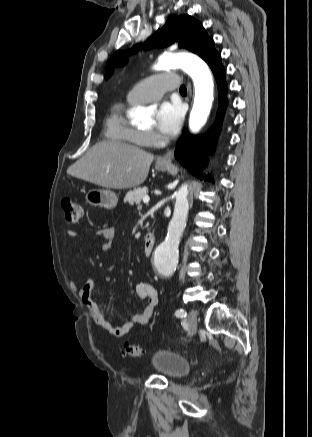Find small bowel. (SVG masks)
I'll return each instance as SVG.
<instances>
[{
    "label": "small bowel",
    "mask_w": 312,
    "mask_h": 437,
    "mask_svg": "<svg viewBox=\"0 0 312 437\" xmlns=\"http://www.w3.org/2000/svg\"><path fill=\"white\" fill-rule=\"evenodd\" d=\"M68 236L75 237L77 232L69 230ZM94 236L102 237L105 243L102 247L104 251L112 249L115 241V228L104 227L94 232ZM97 283L94 278H87L82 287L76 288V291L82 303L88 308L96 326L102 328L109 334L116 337H122L127 334L135 325H147L155 313L158 305V292L153 285L147 282H140L136 285V294L139 299L146 301L143 310L131 316L124 324L116 325L110 322L101 305L93 298V291Z\"/></svg>",
    "instance_id": "1"
}]
</instances>
